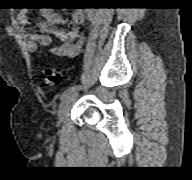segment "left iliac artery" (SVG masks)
<instances>
[{
  "instance_id": "left-iliac-artery-1",
  "label": "left iliac artery",
  "mask_w": 192,
  "mask_h": 180,
  "mask_svg": "<svg viewBox=\"0 0 192 180\" xmlns=\"http://www.w3.org/2000/svg\"><path fill=\"white\" fill-rule=\"evenodd\" d=\"M78 85H73L71 87H68L61 95V100H64L66 97H68L71 93L75 92L78 89Z\"/></svg>"
}]
</instances>
